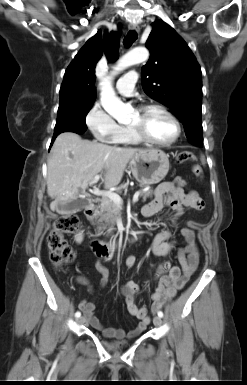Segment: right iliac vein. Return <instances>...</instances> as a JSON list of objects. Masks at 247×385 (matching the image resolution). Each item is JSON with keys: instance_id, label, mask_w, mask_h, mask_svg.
Masks as SVG:
<instances>
[{"instance_id": "63e3f726", "label": "right iliac vein", "mask_w": 247, "mask_h": 385, "mask_svg": "<svg viewBox=\"0 0 247 385\" xmlns=\"http://www.w3.org/2000/svg\"><path fill=\"white\" fill-rule=\"evenodd\" d=\"M77 322H78L79 324L84 323V322H85L84 317L82 316V317H80L79 319H77Z\"/></svg>"}]
</instances>
